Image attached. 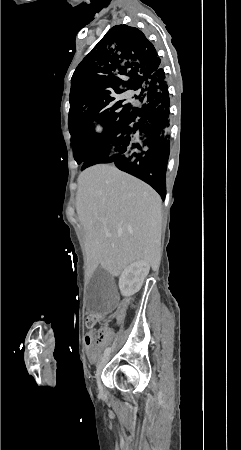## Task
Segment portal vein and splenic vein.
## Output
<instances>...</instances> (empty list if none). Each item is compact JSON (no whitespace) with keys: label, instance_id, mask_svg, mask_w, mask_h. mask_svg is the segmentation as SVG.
Wrapping results in <instances>:
<instances>
[{"label":"portal vein and splenic vein","instance_id":"obj_1","mask_svg":"<svg viewBox=\"0 0 241 450\" xmlns=\"http://www.w3.org/2000/svg\"><path fill=\"white\" fill-rule=\"evenodd\" d=\"M106 236H108V238H111L112 234H106Z\"/></svg>","mask_w":241,"mask_h":450}]
</instances>
